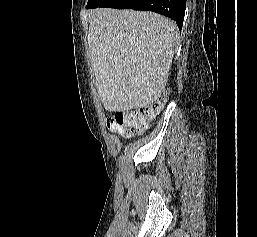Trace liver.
Returning a JSON list of instances; mask_svg holds the SVG:
<instances>
[{"label": "liver", "mask_w": 257, "mask_h": 237, "mask_svg": "<svg viewBox=\"0 0 257 237\" xmlns=\"http://www.w3.org/2000/svg\"><path fill=\"white\" fill-rule=\"evenodd\" d=\"M178 30L152 12L97 8L88 32L98 95L110 112L145 108L165 88Z\"/></svg>", "instance_id": "obj_1"}]
</instances>
